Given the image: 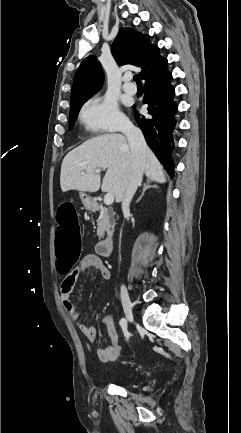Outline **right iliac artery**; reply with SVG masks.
I'll use <instances>...</instances> for the list:
<instances>
[{
	"mask_svg": "<svg viewBox=\"0 0 241 433\" xmlns=\"http://www.w3.org/2000/svg\"><path fill=\"white\" fill-rule=\"evenodd\" d=\"M126 324H127L126 319H125V318H122V319L120 320V326H121V327H124V326H126Z\"/></svg>",
	"mask_w": 241,
	"mask_h": 433,
	"instance_id": "82829eb1",
	"label": "right iliac artery"
}]
</instances>
